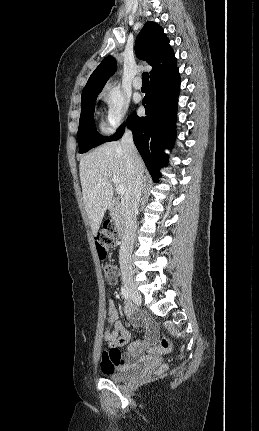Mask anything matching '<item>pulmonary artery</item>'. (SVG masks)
<instances>
[{
	"mask_svg": "<svg viewBox=\"0 0 259 431\" xmlns=\"http://www.w3.org/2000/svg\"><path fill=\"white\" fill-rule=\"evenodd\" d=\"M133 86L135 89L140 90L142 88V81L140 77H136L133 81Z\"/></svg>",
	"mask_w": 259,
	"mask_h": 431,
	"instance_id": "pulmonary-artery-1",
	"label": "pulmonary artery"
}]
</instances>
